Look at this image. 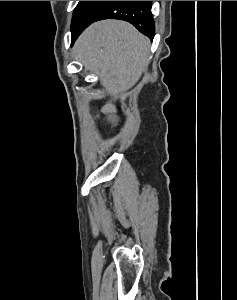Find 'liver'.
<instances>
[{
	"label": "liver",
	"instance_id": "obj_1",
	"mask_svg": "<svg viewBox=\"0 0 237 300\" xmlns=\"http://www.w3.org/2000/svg\"><path fill=\"white\" fill-rule=\"evenodd\" d=\"M77 61L99 71L103 87L124 93L139 81L150 61V41L125 21H98L75 43Z\"/></svg>",
	"mask_w": 237,
	"mask_h": 300
}]
</instances>
